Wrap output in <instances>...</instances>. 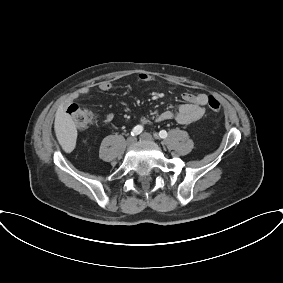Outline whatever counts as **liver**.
Segmentation results:
<instances>
[{"label":"liver","mask_w":283,"mask_h":283,"mask_svg":"<svg viewBox=\"0 0 283 283\" xmlns=\"http://www.w3.org/2000/svg\"><path fill=\"white\" fill-rule=\"evenodd\" d=\"M54 128L63 150L67 153L73 151L76 145L77 129L72 117L66 113L62 105L56 111Z\"/></svg>","instance_id":"6515ba94"}]
</instances>
